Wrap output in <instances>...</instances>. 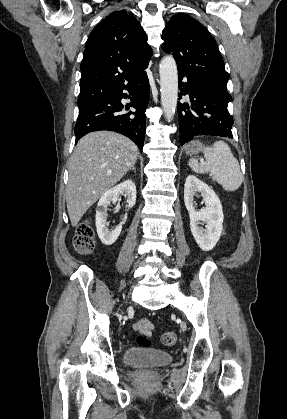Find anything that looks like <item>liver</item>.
I'll return each instance as SVG.
<instances>
[{"label":"liver","instance_id":"obj_1","mask_svg":"<svg viewBox=\"0 0 287 419\" xmlns=\"http://www.w3.org/2000/svg\"><path fill=\"white\" fill-rule=\"evenodd\" d=\"M137 156V146L115 132L97 131L80 139L69 161L66 189L67 210L73 227L124 177L136 163Z\"/></svg>","mask_w":287,"mask_h":419}]
</instances>
